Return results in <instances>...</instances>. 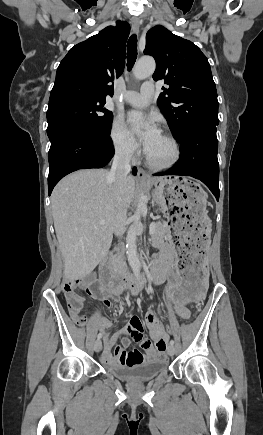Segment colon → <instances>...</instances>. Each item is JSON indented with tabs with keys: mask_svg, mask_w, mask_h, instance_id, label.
<instances>
[{
	"mask_svg": "<svg viewBox=\"0 0 263 435\" xmlns=\"http://www.w3.org/2000/svg\"><path fill=\"white\" fill-rule=\"evenodd\" d=\"M83 289L91 297H93L97 292V287L95 285H88L84 280L81 279L69 280L64 284V294L68 310L74 321L80 325L84 321V316L81 314L84 298L78 293V291ZM172 325L173 324L169 321L165 327V332H167L169 335L172 333L170 331V329H173ZM152 341L153 343L155 342L154 339H152Z\"/></svg>",
	"mask_w": 263,
	"mask_h": 435,
	"instance_id": "obj_1",
	"label": "colon"
}]
</instances>
